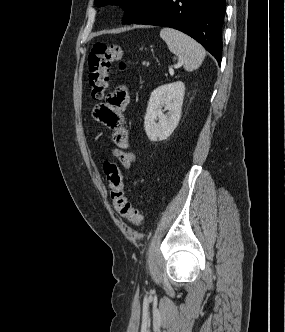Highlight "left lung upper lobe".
<instances>
[{
  "mask_svg": "<svg viewBox=\"0 0 285 332\" xmlns=\"http://www.w3.org/2000/svg\"><path fill=\"white\" fill-rule=\"evenodd\" d=\"M158 0H95L96 6L114 3L121 5L125 10L124 24H131L148 12Z\"/></svg>",
  "mask_w": 285,
  "mask_h": 332,
  "instance_id": "1",
  "label": "left lung upper lobe"
}]
</instances>
